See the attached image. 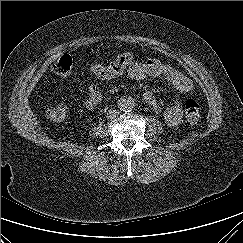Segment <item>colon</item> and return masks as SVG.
I'll list each match as a JSON object with an SVG mask.
<instances>
[{"label":"colon","instance_id":"obj_1","mask_svg":"<svg viewBox=\"0 0 243 243\" xmlns=\"http://www.w3.org/2000/svg\"><path fill=\"white\" fill-rule=\"evenodd\" d=\"M73 58L68 54L62 55L53 65L55 74L61 77H67L73 70ZM91 73L100 79H111L121 75L126 69L133 65V57L130 53H122L110 63L98 64L88 63ZM184 111L188 124L195 125L199 122L201 107L197 100L188 98L184 102ZM67 114V108L64 104L50 105L46 108V117L54 122H62Z\"/></svg>","mask_w":243,"mask_h":243}]
</instances>
